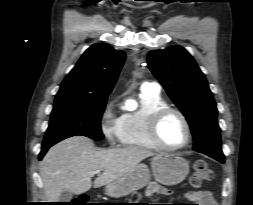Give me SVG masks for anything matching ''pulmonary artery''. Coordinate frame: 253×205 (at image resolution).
<instances>
[{
	"label": "pulmonary artery",
	"instance_id": "e3ab8cb5",
	"mask_svg": "<svg viewBox=\"0 0 253 205\" xmlns=\"http://www.w3.org/2000/svg\"><path fill=\"white\" fill-rule=\"evenodd\" d=\"M141 90H149V91L159 92L160 91V85L156 82L146 81L141 85Z\"/></svg>",
	"mask_w": 253,
	"mask_h": 205
}]
</instances>
